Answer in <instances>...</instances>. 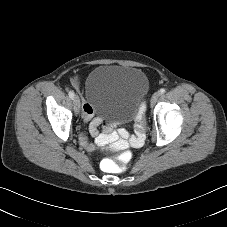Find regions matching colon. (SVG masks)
Masks as SVG:
<instances>
[{
  "instance_id": "1",
  "label": "colon",
  "mask_w": 227,
  "mask_h": 227,
  "mask_svg": "<svg viewBox=\"0 0 227 227\" xmlns=\"http://www.w3.org/2000/svg\"><path fill=\"white\" fill-rule=\"evenodd\" d=\"M118 160L120 161V166H119V168H120L121 171H123V170H124V165H125V163L123 162L122 157H119Z\"/></svg>"
}]
</instances>
